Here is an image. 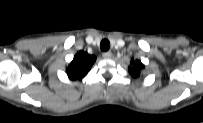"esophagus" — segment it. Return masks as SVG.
Wrapping results in <instances>:
<instances>
[{
    "label": "esophagus",
    "instance_id": "obj_1",
    "mask_svg": "<svg viewBox=\"0 0 203 123\" xmlns=\"http://www.w3.org/2000/svg\"><path fill=\"white\" fill-rule=\"evenodd\" d=\"M102 56H103V58H105V59H109V58L112 57V53H111L110 51H107V52H104V53L102 54Z\"/></svg>",
    "mask_w": 203,
    "mask_h": 123
}]
</instances>
